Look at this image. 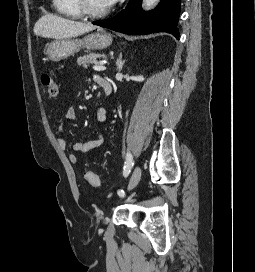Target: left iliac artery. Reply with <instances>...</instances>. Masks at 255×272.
I'll use <instances>...</instances> for the list:
<instances>
[{"mask_svg":"<svg viewBox=\"0 0 255 272\" xmlns=\"http://www.w3.org/2000/svg\"><path fill=\"white\" fill-rule=\"evenodd\" d=\"M133 164L134 163H133V156H132V154L131 153H127L126 154V161H125V165H124V171H123V176L125 178H128V174L130 173V171H131V169L133 167ZM118 195L123 197L125 195V193H124L123 190H119L118 191Z\"/></svg>","mask_w":255,"mask_h":272,"instance_id":"left-iliac-artery-1","label":"left iliac artery"}]
</instances>
